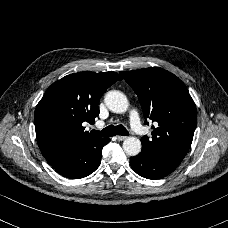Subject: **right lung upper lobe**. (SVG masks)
Here are the masks:
<instances>
[{
  "instance_id": "right-lung-upper-lobe-1",
  "label": "right lung upper lobe",
  "mask_w": 228,
  "mask_h": 228,
  "mask_svg": "<svg viewBox=\"0 0 228 228\" xmlns=\"http://www.w3.org/2000/svg\"><path fill=\"white\" fill-rule=\"evenodd\" d=\"M118 80L122 78L115 72H79L47 89L34 114L37 141L45 159L96 138L84 131L82 123H94L101 96Z\"/></svg>"
}]
</instances>
